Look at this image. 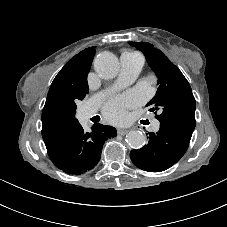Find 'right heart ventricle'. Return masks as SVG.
I'll return each mask as SVG.
<instances>
[{
    "instance_id": "e07e8e85",
    "label": "right heart ventricle",
    "mask_w": 227,
    "mask_h": 227,
    "mask_svg": "<svg viewBox=\"0 0 227 227\" xmlns=\"http://www.w3.org/2000/svg\"><path fill=\"white\" fill-rule=\"evenodd\" d=\"M123 55L137 56L139 58H142V56L139 53H137V52H129V51H127Z\"/></svg>"
}]
</instances>
